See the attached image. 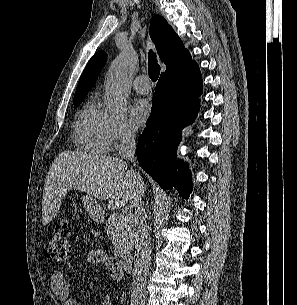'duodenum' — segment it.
Listing matches in <instances>:
<instances>
[{
    "mask_svg": "<svg viewBox=\"0 0 297 305\" xmlns=\"http://www.w3.org/2000/svg\"><path fill=\"white\" fill-rule=\"evenodd\" d=\"M120 263H121V267L124 269V271L130 272L132 270L133 259L131 256H129V255L121 256Z\"/></svg>",
    "mask_w": 297,
    "mask_h": 305,
    "instance_id": "1",
    "label": "duodenum"
}]
</instances>
